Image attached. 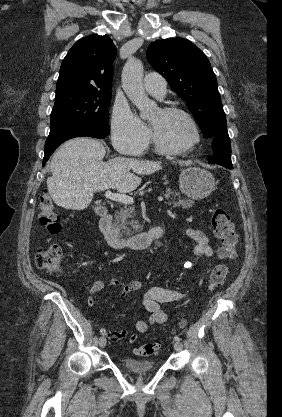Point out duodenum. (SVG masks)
I'll use <instances>...</instances> for the list:
<instances>
[{
    "label": "duodenum",
    "mask_w": 282,
    "mask_h": 417,
    "mask_svg": "<svg viewBox=\"0 0 282 417\" xmlns=\"http://www.w3.org/2000/svg\"><path fill=\"white\" fill-rule=\"evenodd\" d=\"M112 220V214H103L99 221V230L109 246L114 250L123 248L135 250L146 249L150 247L152 243L158 241L162 235V228L156 226L148 232L124 237L115 230Z\"/></svg>",
    "instance_id": "duodenum-1"
}]
</instances>
